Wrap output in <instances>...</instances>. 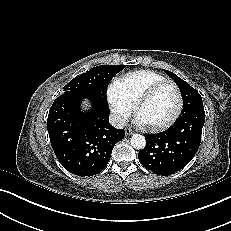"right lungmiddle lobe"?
Listing matches in <instances>:
<instances>
[{"label":"right lung middle lobe","mask_w":231,"mask_h":231,"mask_svg":"<svg viewBox=\"0 0 231 231\" xmlns=\"http://www.w3.org/2000/svg\"><path fill=\"white\" fill-rule=\"evenodd\" d=\"M124 68L125 67L118 68L111 65L94 67L90 69V71L72 79V81L64 87V91H78L108 106L106 98L107 86L111 79Z\"/></svg>","instance_id":"dd1d6c3e"}]
</instances>
